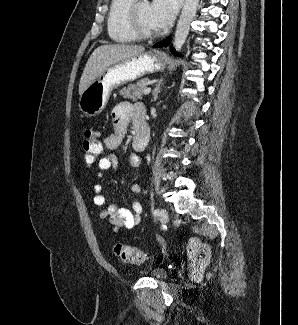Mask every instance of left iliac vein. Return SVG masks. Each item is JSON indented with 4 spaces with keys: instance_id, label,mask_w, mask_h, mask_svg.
I'll list each match as a JSON object with an SVG mask.
<instances>
[{
    "instance_id": "left-iliac-vein-1",
    "label": "left iliac vein",
    "mask_w": 298,
    "mask_h": 325,
    "mask_svg": "<svg viewBox=\"0 0 298 325\" xmlns=\"http://www.w3.org/2000/svg\"><path fill=\"white\" fill-rule=\"evenodd\" d=\"M160 220L162 223H166L168 221V213L163 208L160 210Z\"/></svg>"
}]
</instances>
